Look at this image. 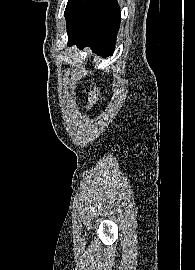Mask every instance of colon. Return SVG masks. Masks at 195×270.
Returning <instances> with one entry per match:
<instances>
[{"mask_svg": "<svg viewBox=\"0 0 195 270\" xmlns=\"http://www.w3.org/2000/svg\"><path fill=\"white\" fill-rule=\"evenodd\" d=\"M99 99H100V89L97 85H94L89 96V103H88L89 109H93L98 104Z\"/></svg>", "mask_w": 195, "mask_h": 270, "instance_id": "1", "label": "colon"}]
</instances>
